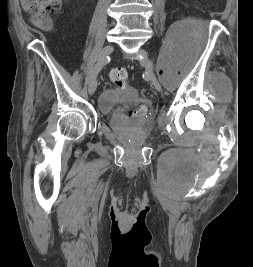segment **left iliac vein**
<instances>
[{
  "label": "left iliac vein",
  "instance_id": "4c4485c4",
  "mask_svg": "<svg viewBox=\"0 0 253 267\" xmlns=\"http://www.w3.org/2000/svg\"><path fill=\"white\" fill-rule=\"evenodd\" d=\"M139 54L146 56V52L143 50H139ZM139 61L140 63L145 65L146 70L149 73L151 83L154 85L155 89L157 91H161V84L158 82L157 78L153 74V63L148 58L140 59Z\"/></svg>",
  "mask_w": 253,
  "mask_h": 267
}]
</instances>
